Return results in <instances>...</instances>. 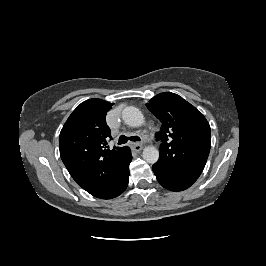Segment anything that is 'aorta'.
Masks as SVG:
<instances>
[{
    "label": "aorta",
    "instance_id": "obj_1",
    "mask_svg": "<svg viewBox=\"0 0 266 266\" xmlns=\"http://www.w3.org/2000/svg\"><path fill=\"white\" fill-rule=\"evenodd\" d=\"M122 118L124 122L131 127H139L144 123L142 112L134 106L124 108L122 111ZM142 157L147 163L154 164L159 159V151L154 146H147L143 150Z\"/></svg>",
    "mask_w": 266,
    "mask_h": 266
}]
</instances>
